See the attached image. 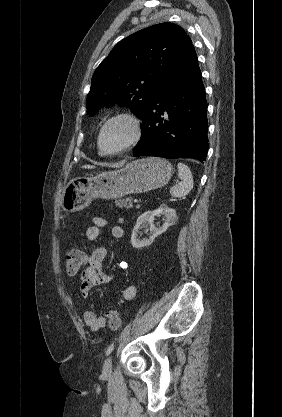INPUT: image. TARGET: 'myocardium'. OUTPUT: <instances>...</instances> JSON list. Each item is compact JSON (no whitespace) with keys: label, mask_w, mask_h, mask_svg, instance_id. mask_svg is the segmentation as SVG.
I'll list each match as a JSON object with an SVG mask.
<instances>
[{"label":"myocardium","mask_w":282,"mask_h":417,"mask_svg":"<svg viewBox=\"0 0 282 417\" xmlns=\"http://www.w3.org/2000/svg\"><path fill=\"white\" fill-rule=\"evenodd\" d=\"M117 124H123L128 129V136L125 139L123 143L115 147L111 150H106L103 146V138L105 133L112 128L113 126ZM141 136V128H140V122L139 120L127 113H120L113 117H111L107 122L103 125V127L100 130L99 136H98V147L100 152L103 155H113L121 152L122 150L134 145Z\"/></svg>","instance_id":"obj_1"}]
</instances>
